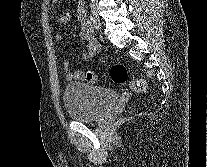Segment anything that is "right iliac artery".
Masks as SVG:
<instances>
[{
  "label": "right iliac artery",
  "mask_w": 207,
  "mask_h": 167,
  "mask_svg": "<svg viewBox=\"0 0 207 167\" xmlns=\"http://www.w3.org/2000/svg\"><path fill=\"white\" fill-rule=\"evenodd\" d=\"M87 29L89 32L93 33L94 31V25H93V19H92V16H89L88 19H87Z\"/></svg>",
  "instance_id": "right-iliac-artery-1"
}]
</instances>
